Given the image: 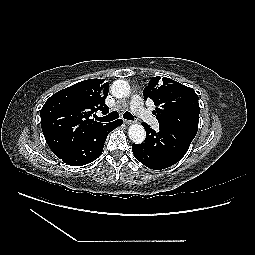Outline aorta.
Wrapping results in <instances>:
<instances>
[{"label": "aorta", "instance_id": "aorta-1", "mask_svg": "<svg viewBox=\"0 0 255 255\" xmlns=\"http://www.w3.org/2000/svg\"><path fill=\"white\" fill-rule=\"evenodd\" d=\"M112 95L116 98H123L129 95L130 85L125 80H116L111 86ZM129 138L137 144L145 140V129L140 124H132L128 129Z\"/></svg>", "mask_w": 255, "mask_h": 255}]
</instances>
